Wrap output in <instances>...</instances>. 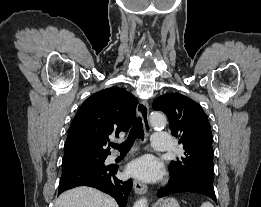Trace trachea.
I'll return each instance as SVG.
<instances>
[{
    "instance_id": "1",
    "label": "trachea",
    "mask_w": 261,
    "mask_h": 207,
    "mask_svg": "<svg viewBox=\"0 0 261 207\" xmlns=\"http://www.w3.org/2000/svg\"><path fill=\"white\" fill-rule=\"evenodd\" d=\"M136 138L144 139L143 123L140 117L134 122L127 139L122 144H111V146L120 152H127Z\"/></svg>"
}]
</instances>
